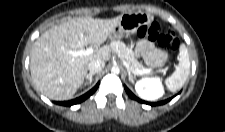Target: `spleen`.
<instances>
[{
    "label": "spleen",
    "mask_w": 225,
    "mask_h": 132,
    "mask_svg": "<svg viewBox=\"0 0 225 132\" xmlns=\"http://www.w3.org/2000/svg\"><path fill=\"white\" fill-rule=\"evenodd\" d=\"M180 59L174 73L166 79L168 90L175 92L179 90L186 82L190 73V60L187 47L182 44L179 49Z\"/></svg>",
    "instance_id": "spleen-1"
}]
</instances>
